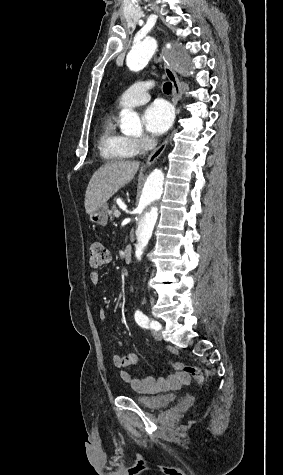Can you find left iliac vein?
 Returning a JSON list of instances; mask_svg holds the SVG:
<instances>
[{"mask_svg":"<svg viewBox=\"0 0 283 475\" xmlns=\"http://www.w3.org/2000/svg\"><path fill=\"white\" fill-rule=\"evenodd\" d=\"M152 335L158 341L162 339V334L156 329L152 331Z\"/></svg>","mask_w":283,"mask_h":475,"instance_id":"left-iliac-vein-1","label":"left iliac vein"}]
</instances>
